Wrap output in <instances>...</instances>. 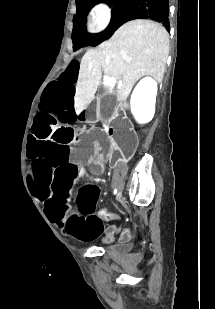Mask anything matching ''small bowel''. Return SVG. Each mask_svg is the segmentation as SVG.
<instances>
[{
    "label": "small bowel",
    "instance_id": "obj_1",
    "mask_svg": "<svg viewBox=\"0 0 215 309\" xmlns=\"http://www.w3.org/2000/svg\"><path fill=\"white\" fill-rule=\"evenodd\" d=\"M127 238H128V236H127V235H124V236H123V239H124V240H126Z\"/></svg>",
    "mask_w": 215,
    "mask_h": 309
}]
</instances>
